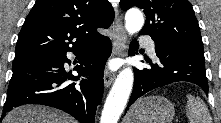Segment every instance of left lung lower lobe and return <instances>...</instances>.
Wrapping results in <instances>:
<instances>
[{
  "label": "left lung lower lobe",
  "instance_id": "left-lung-lower-lobe-1",
  "mask_svg": "<svg viewBox=\"0 0 221 123\" xmlns=\"http://www.w3.org/2000/svg\"><path fill=\"white\" fill-rule=\"evenodd\" d=\"M154 42L158 61L154 64L149 62L152 69L134 70L133 91L126 109L145 93L174 82H192L199 85L205 93L208 92L204 52L172 48ZM132 47L137 51L138 43L132 42Z\"/></svg>",
  "mask_w": 221,
  "mask_h": 123
}]
</instances>
